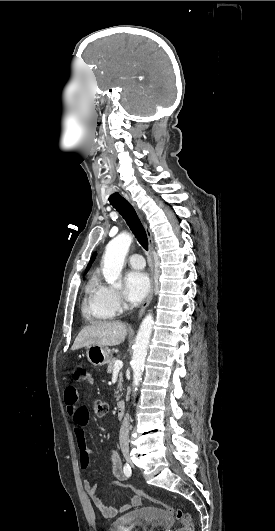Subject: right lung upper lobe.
I'll use <instances>...</instances> for the list:
<instances>
[{
	"instance_id": "1",
	"label": "right lung upper lobe",
	"mask_w": 275,
	"mask_h": 531,
	"mask_svg": "<svg viewBox=\"0 0 275 531\" xmlns=\"http://www.w3.org/2000/svg\"><path fill=\"white\" fill-rule=\"evenodd\" d=\"M95 255H96V254H94V255L92 256V258H91V260H90V262H89V264H88V266H87V269L91 266L92 262L94 261V259H95Z\"/></svg>"
}]
</instances>
